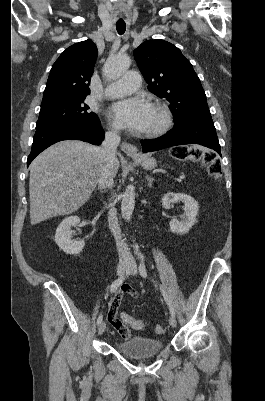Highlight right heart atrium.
Listing matches in <instances>:
<instances>
[{"instance_id":"d8ad5b80","label":"right heart atrium","mask_w":265,"mask_h":401,"mask_svg":"<svg viewBox=\"0 0 265 401\" xmlns=\"http://www.w3.org/2000/svg\"><path fill=\"white\" fill-rule=\"evenodd\" d=\"M120 129L116 126V125H110V132L111 133H116L118 132Z\"/></svg>"}]
</instances>
